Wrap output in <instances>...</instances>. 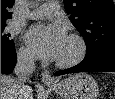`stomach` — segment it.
Here are the masks:
<instances>
[{"label":"stomach","mask_w":115,"mask_h":99,"mask_svg":"<svg viewBox=\"0 0 115 99\" xmlns=\"http://www.w3.org/2000/svg\"><path fill=\"white\" fill-rule=\"evenodd\" d=\"M50 87L63 99H97L99 94L97 82L86 73L74 74Z\"/></svg>","instance_id":"0dacf381"}]
</instances>
